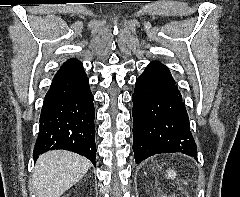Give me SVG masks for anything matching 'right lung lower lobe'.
<instances>
[{"label": "right lung lower lobe", "mask_w": 240, "mask_h": 197, "mask_svg": "<svg viewBox=\"0 0 240 197\" xmlns=\"http://www.w3.org/2000/svg\"><path fill=\"white\" fill-rule=\"evenodd\" d=\"M94 118L93 95L83 66L61 68L43 102L34 160L49 150L63 149L95 165Z\"/></svg>", "instance_id": "1"}]
</instances>
